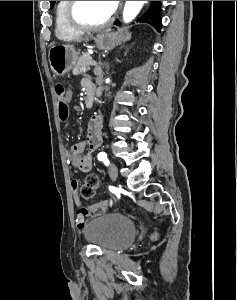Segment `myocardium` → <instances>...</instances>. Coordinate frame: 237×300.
Masks as SVG:
<instances>
[{
  "label": "myocardium",
  "mask_w": 237,
  "mask_h": 300,
  "mask_svg": "<svg viewBox=\"0 0 237 300\" xmlns=\"http://www.w3.org/2000/svg\"><path fill=\"white\" fill-rule=\"evenodd\" d=\"M79 4L80 1H69L66 10V17H67L68 24L76 31L85 32V31L102 30L110 26L115 20V12H113L110 18L101 24L91 25V24L83 23L82 21L79 20L77 16V10Z\"/></svg>",
  "instance_id": "f54148a6"
}]
</instances>
